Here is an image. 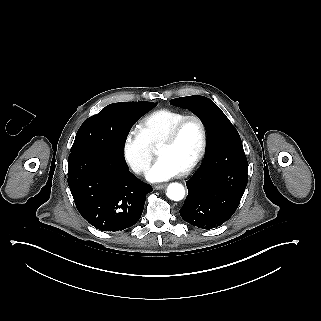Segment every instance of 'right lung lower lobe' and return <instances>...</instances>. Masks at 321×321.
Wrapping results in <instances>:
<instances>
[{
  "instance_id": "98d812e1",
  "label": "right lung lower lobe",
  "mask_w": 321,
  "mask_h": 321,
  "mask_svg": "<svg viewBox=\"0 0 321 321\" xmlns=\"http://www.w3.org/2000/svg\"><path fill=\"white\" fill-rule=\"evenodd\" d=\"M117 131L128 136L142 116L135 108L113 113ZM68 185L75 205L92 226L101 231H121L141 217L146 194L152 187L128 169L124 156L100 150H78L68 159Z\"/></svg>"
}]
</instances>
